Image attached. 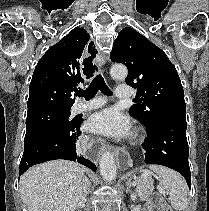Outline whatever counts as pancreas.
I'll list each match as a JSON object with an SVG mask.
<instances>
[{"mask_svg": "<svg viewBox=\"0 0 209 211\" xmlns=\"http://www.w3.org/2000/svg\"><path fill=\"white\" fill-rule=\"evenodd\" d=\"M153 183L149 179L137 180L136 191L141 200H146L150 197L153 192Z\"/></svg>", "mask_w": 209, "mask_h": 211, "instance_id": "cf45deb5", "label": "pancreas"}]
</instances>
